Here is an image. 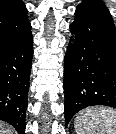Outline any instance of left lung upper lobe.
I'll return each mask as SVG.
<instances>
[{
	"mask_svg": "<svg viewBox=\"0 0 116 134\" xmlns=\"http://www.w3.org/2000/svg\"><path fill=\"white\" fill-rule=\"evenodd\" d=\"M91 6H95L100 9L108 11V8L105 6V4L101 0H85V1L81 2L77 6V8H87V7H91Z\"/></svg>",
	"mask_w": 116,
	"mask_h": 134,
	"instance_id": "left-lung-upper-lobe-1",
	"label": "left lung upper lobe"
}]
</instances>
